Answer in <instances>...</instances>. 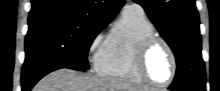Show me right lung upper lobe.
<instances>
[{
	"instance_id": "1",
	"label": "right lung upper lobe",
	"mask_w": 220,
	"mask_h": 91,
	"mask_svg": "<svg viewBox=\"0 0 220 91\" xmlns=\"http://www.w3.org/2000/svg\"><path fill=\"white\" fill-rule=\"evenodd\" d=\"M29 25L66 19L108 25L117 15L124 0H32Z\"/></svg>"
}]
</instances>
